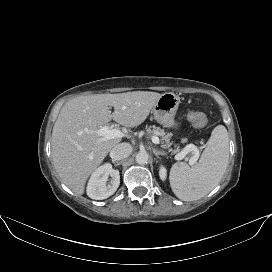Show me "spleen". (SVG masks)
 <instances>
[{"label":"spleen","mask_w":272,"mask_h":272,"mask_svg":"<svg viewBox=\"0 0 272 272\" xmlns=\"http://www.w3.org/2000/svg\"><path fill=\"white\" fill-rule=\"evenodd\" d=\"M229 159V138L225 126H216L198 164H173L169 180L174 194L183 201L198 200L214 189L223 177Z\"/></svg>","instance_id":"spleen-1"}]
</instances>
